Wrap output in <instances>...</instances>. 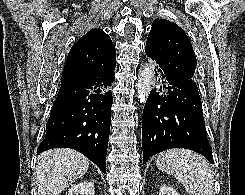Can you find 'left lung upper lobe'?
Instances as JSON below:
<instances>
[{"instance_id": "5c2ea615", "label": "left lung upper lobe", "mask_w": 245, "mask_h": 195, "mask_svg": "<svg viewBox=\"0 0 245 195\" xmlns=\"http://www.w3.org/2000/svg\"><path fill=\"white\" fill-rule=\"evenodd\" d=\"M145 53L169 75L182 81H194L195 53L190 39L175 23L156 19L147 38Z\"/></svg>"}]
</instances>
